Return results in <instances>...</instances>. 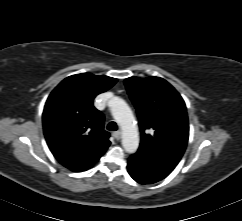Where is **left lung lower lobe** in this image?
Instances as JSON below:
<instances>
[{
  "label": "left lung lower lobe",
  "mask_w": 242,
  "mask_h": 221,
  "mask_svg": "<svg viewBox=\"0 0 242 221\" xmlns=\"http://www.w3.org/2000/svg\"><path fill=\"white\" fill-rule=\"evenodd\" d=\"M175 164L147 151L138 150L128 159L127 169L130 176L140 184H152L167 177Z\"/></svg>",
  "instance_id": "left-lung-lower-lobe-1"
}]
</instances>
